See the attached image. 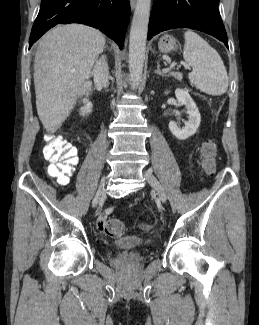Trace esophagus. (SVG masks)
<instances>
[{
  "label": "esophagus",
  "instance_id": "obj_1",
  "mask_svg": "<svg viewBox=\"0 0 259 325\" xmlns=\"http://www.w3.org/2000/svg\"><path fill=\"white\" fill-rule=\"evenodd\" d=\"M135 4H136V0H130V5L132 9H134Z\"/></svg>",
  "mask_w": 259,
  "mask_h": 325
}]
</instances>
